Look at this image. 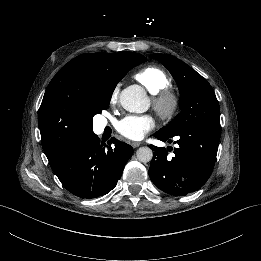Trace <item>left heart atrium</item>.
Instances as JSON below:
<instances>
[{
  "mask_svg": "<svg viewBox=\"0 0 261 261\" xmlns=\"http://www.w3.org/2000/svg\"><path fill=\"white\" fill-rule=\"evenodd\" d=\"M155 127V120L150 115H129L116 124L117 132L131 141H139Z\"/></svg>",
  "mask_w": 261,
  "mask_h": 261,
  "instance_id": "left-heart-atrium-1",
  "label": "left heart atrium"
}]
</instances>
